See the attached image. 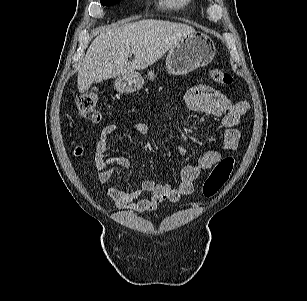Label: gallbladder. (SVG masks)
Listing matches in <instances>:
<instances>
[{"instance_id": "gallbladder-1", "label": "gallbladder", "mask_w": 307, "mask_h": 301, "mask_svg": "<svg viewBox=\"0 0 307 301\" xmlns=\"http://www.w3.org/2000/svg\"><path fill=\"white\" fill-rule=\"evenodd\" d=\"M101 82V80L100 79H98L97 81H96V83H100Z\"/></svg>"}]
</instances>
